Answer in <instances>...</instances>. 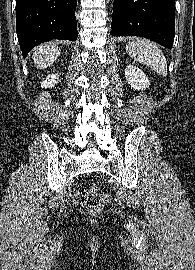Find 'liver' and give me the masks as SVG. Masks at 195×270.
<instances>
[{
    "label": "liver",
    "mask_w": 195,
    "mask_h": 270,
    "mask_svg": "<svg viewBox=\"0 0 195 270\" xmlns=\"http://www.w3.org/2000/svg\"><path fill=\"white\" fill-rule=\"evenodd\" d=\"M60 56V51L55 43L40 45L33 53L34 63L38 68L44 69L52 65Z\"/></svg>",
    "instance_id": "1"
}]
</instances>
